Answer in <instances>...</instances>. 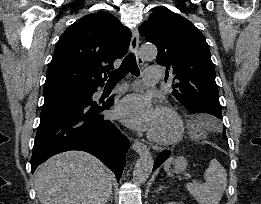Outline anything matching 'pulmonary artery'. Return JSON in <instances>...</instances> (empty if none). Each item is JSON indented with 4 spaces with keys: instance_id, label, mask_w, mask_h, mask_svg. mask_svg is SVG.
<instances>
[{
    "instance_id": "pulmonary-artery-1",
    "label": "pulmonary artery",
    "mask_w": 261,
    "mask_h": 204,
    "mask_svg": "<svg viewBox=\"0 0 261 204\" xmlns=\"http://www.w3.org/2000/svg\"><path fill=\"white\" fill-rule=\"evenodd\" d=\"M161 78V70L159 67L153 66L145 69L144 81L149 84L157 83ZM127 89L126 85L116 88V92L124 91Z\"/></svg>"
}]
</instances>
